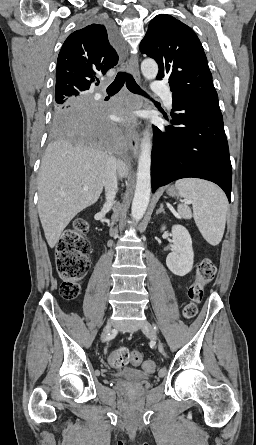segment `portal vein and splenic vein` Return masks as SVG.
Masks as SVG:
<instances>
[{"label": "portal vein and splenic vein", "instance_id": "18ae733b", "mask_svg": "<svg viewBox=\"0 0 256 445\" xmlns=\"http://www.w3.org/2000/svg\"><path fill=\"white\" fill-rule=\"evenodd\" d=\"M84 190L86 191L87 190V188H84ZM188 203V202H187Z\"/></svg>", "mask_w": 256, "mask_h": 445}]
</instances>
